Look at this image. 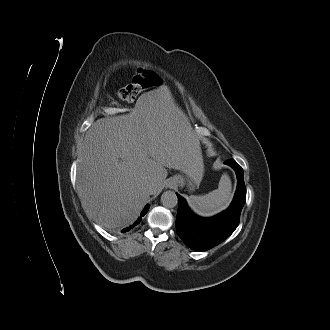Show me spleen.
Segmentation results:
<instances>
[{
    "mask_svg": "<svg viewBox=\"0 0 330 330\" xmlns=\"http://www.w3.org/2000/svg\"><path fill=\"white\" fill-rule=\"evenodd\" d=\"M232 184L229 176L223 174L218 189L206 195H191L187 198L189 207L194 213L202 217H211L227 209L232 201Z\"/></svg>",
    "mask_w": 330,
    "mask_h": 330,
    "instance_id": "1",
    "label": "spleen"
}]
</instances>
